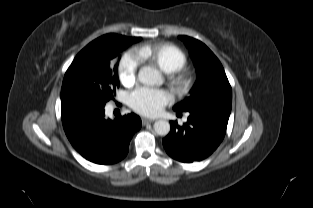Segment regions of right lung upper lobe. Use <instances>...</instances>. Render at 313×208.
<instances>
[{"label": "right lung upper lobe", "instance_id": "obj_1", "mask_svg": "<svg viewBox=\"0 0 313 208\" xmlns=\"http://www.w3.org/2000/svg\"><path fill=\"white\" fill-rule=\"evenodd\" d=\"M112 35L118 36V37H120V38H122V39L129 40V41H134V40L137 38V37L130 38V37L120 36V35H116V34H107V35H104V36L99 37L98 39L106 38V37L112 36ZM98 39L92 41V42H91L90 44H88L83 50H86L89 46H91L92 44H94L95 42H97ZM83 50H82V51H83Z\"/></svg>", "mask_w": 313, "mask_h": 208}]
</instances>
